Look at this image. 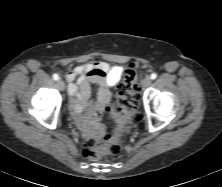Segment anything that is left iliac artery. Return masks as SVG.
I'll return each mask as SVG.
<instances>
[{"label":"left iliac artery","mask_w":222,"mask_h":187,"mask_svg":"<svg viewBox=\"0 0 222 187\" xmlns=\"http://www.w3.org/2000/svg\"><path fill=\"white\" fill-rule=\"evenodd\" d=\"M150 77H151L152 80H154V79L157 78V74L156 73H152Z\"/></svg>","instance_id":"obj_1"}]
</instances>
